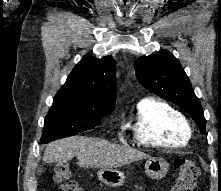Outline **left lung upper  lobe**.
Wrapping results in <instances>:
<instances>
[{
  "label": "left lung upper lobe",
  "mask_w": 221,
  "mask_h": 191,
  "mask_svg": "<svg viewBox=\"0 0 221 191\" xmlns=\"http://www.w3.org/2000/svg\"><path fill=\"white\" fill-rule=\"evenodd\" d=\"M138 81L154 94L184 109L205 133L206 120L200 100L180 62L169 51L141 56L135 61Z\"/></svg>",
  "instance_id": "5c2ea615"
}]
</instances>
